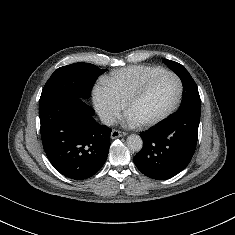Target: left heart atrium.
Segmentation results:
<instances>
[{
	"label": "left heart atrium",
	"instance_id": "39dd6f15",
	"mask_svg": "<svg viewBox=\"0 0 235 235\" xmlns=\"http://www.w3.org/2000/svg\"><path fill=\"white\" fill-rule=\"evenodd\" d=\"M129 120H130L132 123H136L131 117H129Z\"/></svg>",
	"mask_w": 235,
	"mask_h": 235
}]
</instances>
